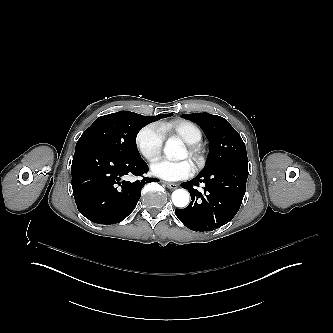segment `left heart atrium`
Here are the masks:
<instances>
[{"mask_svg": "<svg viewBox=\"0 0 333 333\" xmlns=\"http://www.w3.org/2000/svg\"><path fill=\"white\" fill-rule=\"evenodd\" d=\"M152 173L168 181H179L190 178L195 173L194 165L189 160L171 162L160 161L152 167Z\"/></svg>", "mask_w": 333, "mask_h": 333, "instance_id": "obj_1", "label": "left heart atrium"}]
</instances>
